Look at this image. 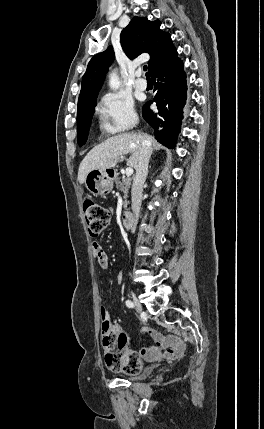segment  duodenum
Masks as SVG:
<instances>
[{"label": "duodenum", "instance_id": "obj_1", "mask_svg": "<svg viewBox=\"0 0 264 429\" xmlns=\"http://www.w3.org/2000/svg\"><path fill=\"white\" fill-rule=\"evenodd\" d=\"M133 218H134V215L132 212L130 211L123 212L121 216L123 225L127 228L132 227L131 225L134 223Z\"/></svg>", "mask_w": 264, "mask_h": 429}]
</instances>
